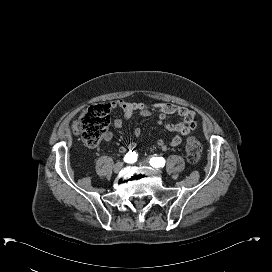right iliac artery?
Wrapping results in <instances>:
<instances>
[{
    "instance_id": "1",
    "label": "right iliac artery",
    "mask_w": 272,
    "mask_h": 272,
    "mask_svg": "<svg viewBox=\"0 0 272 272\" xmlns=\"http://www.w3.org/2000/svg\"><path fill=\"white\" fill-rule=\"evenodd\" d=\"M136 160H137V154L134 151L133 152L129 151L124 157V161L126 163H134L136 162Z\"/></svg>"
}]
</instances>
